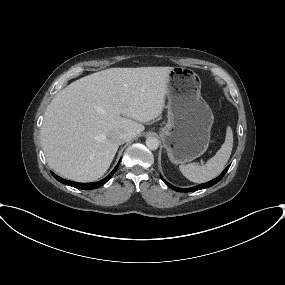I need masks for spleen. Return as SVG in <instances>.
Returning a JSON list of instances; mask_svg holds the SVG:
<instances>
[{
	"label": "spleen",
	"instance_id": "spleen-1",
	"mask_svg": "<svg viewBox=\"0 0 285 285\" xmlns=\"http://www.w3.org/2000/svg\"><path fill=\"white\" fill-rule=\"evenodd\" d=\"M233 148V132L227 127L225 142L217 153L205 165L195 163L180 165L181 173L190 181L204 183L217 177L228 162Z\"/></svg>",
	"mask_w": 285,
	"mask_h": 285
}]
</instances>
